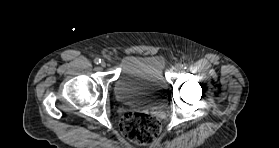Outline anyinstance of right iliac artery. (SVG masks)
<instances>
[{
  "label": "right iliac artery",
  "instance_id": "82829eb1",
  "mask_svg": "<svg viewBox=\"0 0 279 148\" xmlns=\"http://www.w3.org/2000/svg\"><path fill=\"white\" fill-rule=\"evenodd\" d=\"M94 63H95V64H99V63H101V59H99V58H95Z\"/></svg>",
  "mask_w": 279,
  "mask_h": 148
}]
</instances>
